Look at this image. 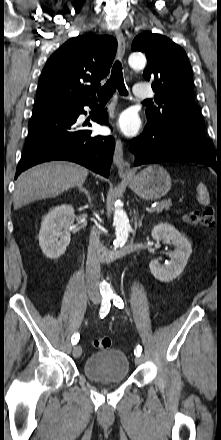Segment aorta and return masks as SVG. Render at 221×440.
Instances as JSON below:
<instances>
[{
	"label": "aorta",
	"mask_w": 221,
	"mask_h": 440,
	"mask_svg": "<svg viewBox=\"0 0 221 440\" xmlns=\"http://www.w3.org/2000/svg\"><path fill=\"white\" fill-rule=\"evenodd\" d=\"M128 63L134 69L144 68L146 65V58L143 54L135 52L129 56ZM113 223L116 230V238L113 245L116 248L123 246L126 243L130 230L129 219L123 209L116 207L113 215ZM101 288L104 291L110 290V286L106 282L101 284Z\"/></svg>",
	"instance_id": "aorta-1"
}]
</instances>
